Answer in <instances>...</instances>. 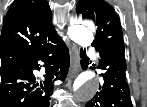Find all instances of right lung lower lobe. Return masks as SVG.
<instances>
[{
    "instance_id": "1",
    "label": "right lung lower lobe",
    "mask_w": 147,
    "mask_h": 107,
    "mask_svg": "<svg viewBox=\"0 0 147 107\" xmlns=\"http://www.w3.org/2000/svg\"><path fill=\"white\" fill-rule=\"evenodd\" d=\"M69 63L67 46L56 36L22 62L0 71V107H49L53 81L65 80ZM33 70L43 71L39 81Z\"/></svg>"
}]
</instances>
